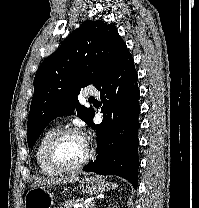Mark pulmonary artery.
Masks as SVG:
<instances>
[{
    "instance_id": "1",
    "label": "pulmonary artery",
    "mask_w": 199,
    "mask_h": 208,
    "mask_svg": "<svg viewBox=\"0 0 199 208\" xmlns=\"http://www.w3.org/2000/svg\"><path fill=\"white\" fill-rule=\"evenodd\" d=\"M83 94L89 98H94L98 95V90L96 88H88L84 91Z\"/></svg>"
}]
</instances>
